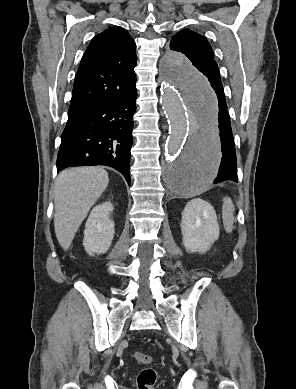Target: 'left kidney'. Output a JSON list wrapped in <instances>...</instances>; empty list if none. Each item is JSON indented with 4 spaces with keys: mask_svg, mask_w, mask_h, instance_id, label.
<instances>
[{
    "mask_svg": "<svg viewBox=\"0 0 296 389\" xmlns=\"http://www.w3.org/2000/svg\"><path fill=\"white\" fill-rule=\"evenodd\" d=\"M181 232L188 253L208 251L220 234L213 206L199 198L189 201L182 213Z\"/></svg>",
    "mask_w": 296,
    "mask_h": 389,
    "instance_id": "5707ae66",
    "label": "left kidney"
}]
</instances>
